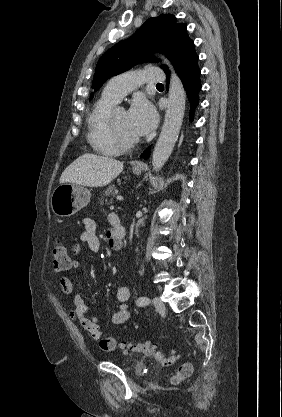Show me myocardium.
<instances>
[{"mask_svg":"<svg viewBox=\"0 0 282 417\" xmlns=\"http://www.w3.org/2000/svg\"><path fill=\"white\" fill-rule=\"evenodd\" d=\"M117 109H113L109 116H108V123L111 129V136L113 141L115 142V144L119 147V148H130L135 146L138 142H139V138H133V139H126L124 138L120 131L118 130L116 123H115V116H116V111Z\"/></svg>","mask_w":282,"mask_h":417,"instance_id":"f54148a6","label":"myocardium"}]
</instances>
